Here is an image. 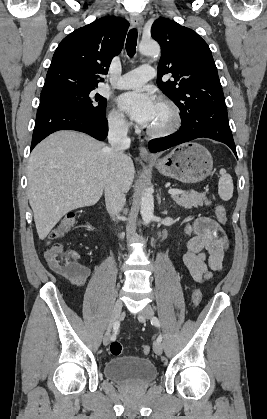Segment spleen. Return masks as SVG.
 <instances>
[{"label": "spleen", "mask_w": 267, "mask_h": 419, "mask_svg": "<svg viewBox=\"0 0 267 419\" xmlns=\"http://www.w3.org/2000/svg\"><path fill=\"white\" fill-rule=\"evenodd\" d=\"M233 181L230 174L225 169L220 170V179L218 182V194L224 201H228L233 196Z\"/></svg>", "instance_id": "1"}]
</instances>
